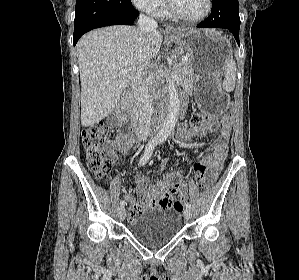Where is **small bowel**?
Wrapping results in <instances>:
<instances>
[{
  "label": "small bowel",
  "instance_id": "obj_1",
  "mask_svg": "<svg viewBox=\"0 0 299 280\" xmlns=\"http://www.w3.org/2000/svg\"><path fill=\"white\" fill-rule=\"evenodd\" d=\"M215 131H219L218 137L213 142L210 153L201 160L207 164L208 177L212 181L220 173L228 153L231 122L226 120L220 125L217 121L208 120L200 126H193L191 123L185 122L180 123L178 126V143L181 147H188V142L194 137H203L208 132ZM131 146L130 138L120 133L112 143L106 146V151L114 159L116 151L128 153ZM135 182L140 202L130 194L126 195V199L131 206L141 204L143 210L153 207L171 208L175 201H183L187 198L188 184L182 179L179 172H171L163 181L157 183H150L148 177L137 174Z\"/></svg>",
  "mask_w": 299,
  "mask_h": 280
}]
</instances>
